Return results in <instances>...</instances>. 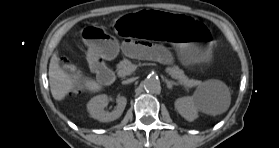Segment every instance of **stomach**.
Returning <instances> with one entry per match:
<instances>
[{"mask_svg": "<svg viewBox=\"0 0 279 148\" xmlns=\"http://www.w3.org/2000/svg\"><path fill=\"white\" fill-rule=\"evenodd\" d=\"M116 29L123 36H138L169 44L180 51L184 65L205 63L218 43V30L202 15L171 8H140L135 14L120 16ZM78 43L86 51L107 59L118 52V42L105 25L86 24L78 32Z\"/></svg>", "mask_w": 279, "mask_h": 148, "instance_id": "1", "label": "stomach"}]
</instances>
